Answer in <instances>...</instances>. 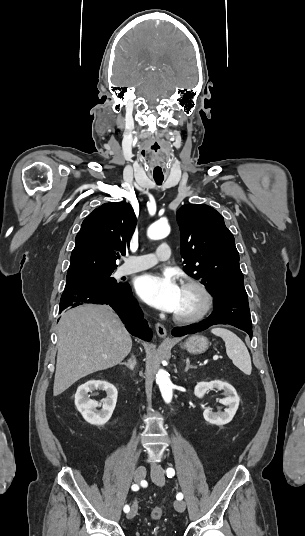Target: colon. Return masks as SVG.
<instances>
[{
    "instance_id": "5ec220e1",
    "label": "colon",
    "mask_w": 305,
    "mask_h": 536,
    "mask_svg": "<svg viewBox=\"0 0 305 536\" xmlns=\"http://www.w3.org/2000/svg\"><path fill=\"white\" fill-rule=\"evenodd\" d=\"M164 513V507L161 505L154 506L151 510L150 517L152 519H159Z\"/></svg>"
}]
</instances>
